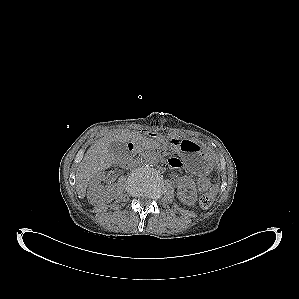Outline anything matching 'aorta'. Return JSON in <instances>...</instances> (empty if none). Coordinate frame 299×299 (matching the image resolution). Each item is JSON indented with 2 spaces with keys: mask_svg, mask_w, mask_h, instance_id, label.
Wrapping results in <instances>:
<instances>
[{
  "mask_svg": "<svg viewBox=\"0 0 299 299\" xmlns=\"http://www.w3.org/2000/svg\"><path fill=\"white\" fill-rule=\"evenodd\" d=\"M142 162L147 166H155L159 162V156L155 151H146L142 155Z\"/></svg>",
  "mask_w": 299,
  "mask_h": 299,
  "instance_id": "762f6f07",
  "label": "aorta"
}]
</instances>
